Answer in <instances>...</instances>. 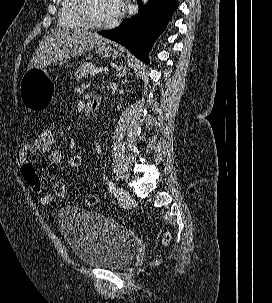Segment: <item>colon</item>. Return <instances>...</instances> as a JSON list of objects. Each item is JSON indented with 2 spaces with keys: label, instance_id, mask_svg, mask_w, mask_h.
<instances>
[{
  "label": "colon",
  "instance_id": "5ec220e1",
  "mask_svg": "<svg viewBox=\"0 0 272 303\" xmlns=\"http://www.w3.org/2000/svg\"><path fill=\"white\" fill-rule=\"evenodd\" d=\"M36 139L41 145L47 148H55L56 131L51 125H44L38 132ZM83 165V156L81 153H74L68 159V170L70 173L78 172ZM21 172L27 184L38 191L40 189V179L36 175L32 165L25 164L21 167ZM54 193L59 197H65L68 194V189L63 181H58L54 185ZM85 201L89 206H95L98 199L94 194H87ZM169 234H164L163 242L167 244L169 241Z\"/></svg>",
  "mask_w": 272,
  "mask_h": 303
}]
</instances>
